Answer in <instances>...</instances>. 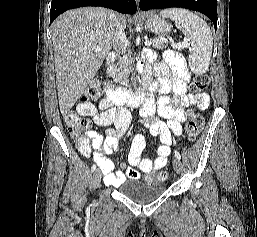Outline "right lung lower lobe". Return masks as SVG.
I'll return each mask as SVG.
<instances>
[{"mask_svg": "<svg viewBox=\"0 0 257 237\" xmlns=\"http://www.w3.org/2000/svg\"><path fill=\"white\" fill-rule=\"evenodd\" d=\"M85 6L107 7L124 14H133L137 10L135 0H52L50 24L66 10Z\"/></svg>", "mask_w": 257, "mask_h": 237, "instance_id": "1", "label": "right lung lower lobe"}]
</instances>
